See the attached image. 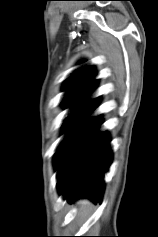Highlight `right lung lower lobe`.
<instances>
[{
  "instance_id": "obj_1",
  "label": "right lung lower lobe",
  "mask_w": 158,
  "mask_h": 237,
  "mask_svg": "<svg viewBox=\"0 0 158 237\" xmlns=\"http://www.w3.org/2000/svg\"><path fill=\"white\" fill-rule=\"evenodd\" d=\"M98 100L77 108L64 121L68 131L55 154L59 192L72 202L76 197L100 201L104 173L112 161L106 132H99L100 116L89 117Z\"/></svg>"
}]
</instances>
